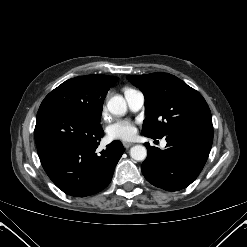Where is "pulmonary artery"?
I'll use <instances>...</instances> for the list:
<instances>
[{
	"instance_id": "pulmonary-artery-1",
	"label": "pulmonary artery",
	"mask_w": 247,
	"mask_h": 247,
	"mask_svg": "<svg viewBox=\"0 0 247 247\" xmlns=\"http://www.w3.org/2000/svg\"><path fill=\"white\" fill-rule=\"evenodd\" d=\"M125 99L127 101L128 107L131 111H139L144 105V95L141 91L135 89H127L124 92ZM167 142L163 140L161 142V147H165Z\"/></svg>"
}]
</instances>
